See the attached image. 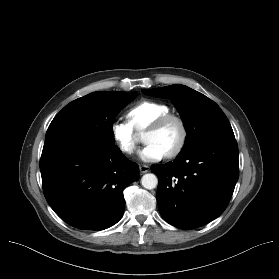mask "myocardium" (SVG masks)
Here are the masks:
<instances>
[{"mask_svg": "<svg viewBox=\"0 0 279 279\" xmlns=\"http://www.w3.org/2000/svg\"><path fill=\"white\" fill-rule=\"evenodd\" d=\"M170 121H174L178 124L180 128V138L176 146L165 154L166 158H174L183 151L188 140V128L185 120L177 114L167 113L155 119L147 128V131H158Z\"/></svg>", "mask_w": 279, "mask_h": 279, "instance_id": "f54148a6", "label": "myocardium"}]
</instances>
